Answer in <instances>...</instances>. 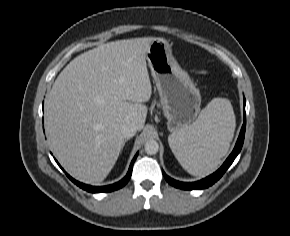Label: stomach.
I'll list each match as a JSON object with an SVG mask.
<instances>
[{
	"instance_id": "stomach-1",
	"label": "stomach",
	"mask_w": 290,
	"mask_h": 236,
	"mask_svg": "<svg viewBox=\"0 0 290 236\" xmlns=\"http://www.w3.org/2000/svg\"><path fill=\"white\" fill-rule=\"evenodd\" d=\"M146 60L159 92L168 130L176 133L185 129L199 114V90L173 57L166 39L155 38L151 42Z\"/></svg>"
}]
</instances>
